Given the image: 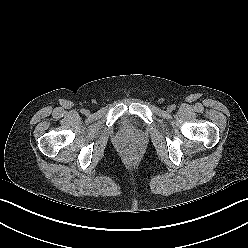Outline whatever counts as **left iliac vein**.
Listing matches in <instances>:
<instances>
[{
	"instance_id": "left-iliac-vein-1",
	"label": "left iliac vein",
	"mask_w": 248,
	"mask_h": 248,
	"mask_svg": "<svg viewBox=\"0 0 248 248\" xmlns=\"http://www.w3.org/2000/svg\"><path fill=\"white\" fill-rule=\"evenodd\" d=\"M167 111H168V112H171V111H172V107H171V106H168V107H167Z\"/></svg>"
}]
</instances>
